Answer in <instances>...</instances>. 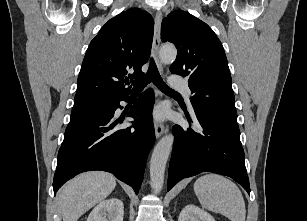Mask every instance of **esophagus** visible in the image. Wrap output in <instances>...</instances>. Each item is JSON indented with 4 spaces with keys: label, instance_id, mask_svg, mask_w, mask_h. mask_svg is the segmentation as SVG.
<instances>
[{
    "label": "esophagus",
    "instance_id": "34e87169",
    "mask_svg": "<svg viewBox=\"0 0 307 221\" xmlns=\"http://www.w3.org/2000/svg\"><path fill=\"white\" fill-rule=\"evenodd\" d=\"M161 22H162V13L161 11H157L155 15V25H154V37H153V45H152V53L153 57L155 59V62L161 72H163V65L159 59L158 53H159V46H160V34H161ZM154 129H155V135L156 138H159L164 131L166 130L164 124H162L159 121L154 122Z\"/></svg>",
    "mask_w": 307,
    "mask_h": 221
}]
</instances>
